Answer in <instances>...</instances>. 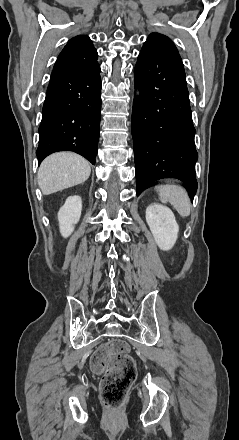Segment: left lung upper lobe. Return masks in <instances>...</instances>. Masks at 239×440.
Masks as SVG:
<instances>
[{
    "label": "left lung upper lobe",
    "instance_id": "left-lung-upper-lobe-1",
    "mask_svg": "<svg viewBox=\"0 0 239 440\" xmlns=\"http://www.w3.org/2000/svg\"><path fill=\"white\" fill-rule=\"evenodd\" d=\"M142 48H152L166 53L179 54L171 39L159 33L150 34Z\"/></svg>",
    "mask_w": 239,
    "mask_h": 440
}]
</instances>
